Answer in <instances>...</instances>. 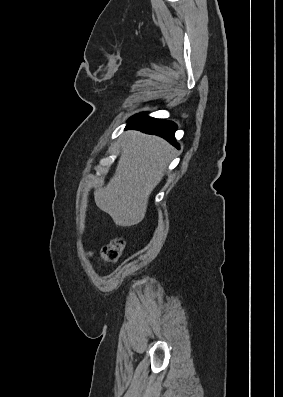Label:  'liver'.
I'll use <instances>...</instances> for the list:
<instances>
[{"mask_svg": "<svg viewBox=\"0 0 283 397\" xmlns=\"http://www.w3.org/2000/svg\"><path fill=\"white\" fill-rule=\"evenodd\" d=\"M121 147L114 176L94 192V198L116 225L130 227L144 219L149 196L162 180L174 150L162 138L137 131L126 132Z\"/></svg>", "mask_w": 283, "mask_h": 397, "instance_id": "1", "label": "liver"}]
</instances>
